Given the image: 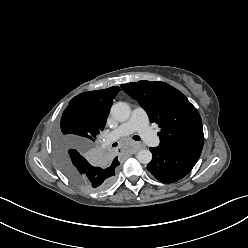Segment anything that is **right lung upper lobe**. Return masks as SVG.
<instances>
[{
    "label": "right lung upper lobe",
    "instance_id": "1",
    "mask_svg": "<svg viewBox=\"0 0 248 248\" xmlns=\"http://www.w3.org/2000/svg\"><path fill=\"white\" fill-rule=\"evenodd\" d=\"M120 90V87L113 86L103 90L84 92L75 96L70 101V105L83 106L88 115L94 120L101 131H103L113 99ZM111 165L116 167L119 165L117 157L114 158Z\"/></svg>",
    "mask_w": 248,
    "mask_h": 248
}]
</instances>
